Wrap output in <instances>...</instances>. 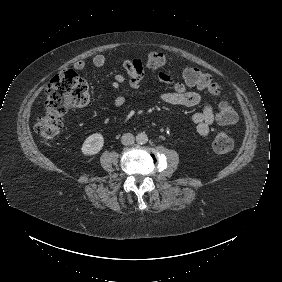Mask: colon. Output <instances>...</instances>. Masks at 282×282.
Returning a JSON list of instances; mask_svg holds the SVG:
<instances>
[{"mask_svg": "<svg viewBox=\"0 0 282 282\" xmlns=\"http://www.w3.org/2000/svg\"><path fill=\"white\" fill-rule=\"evenodd\" d=\"M152 68H163L167 64L162 52L152 51L147 58ZM188 85L205 89L214 95L219 94V85L213 78L194 67L183 69ZM87 82L74 71H65L54 76L46 87L45 116L35 126L36 133L42 142L49 144L58 137L63 124V114L67 108H81L89 103ZM218 121L223 124H234L238 119L237 112L225 100L218 105ZM233 147V139L226 132H219L213 139V149L218 154H226Z\"/></svg>", "mask_w": 282, "mask_h": 282, "instance_id": "obj_1", "label": "colon"}]
</instances>
